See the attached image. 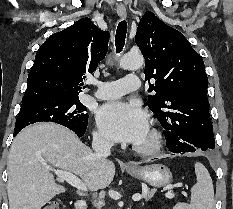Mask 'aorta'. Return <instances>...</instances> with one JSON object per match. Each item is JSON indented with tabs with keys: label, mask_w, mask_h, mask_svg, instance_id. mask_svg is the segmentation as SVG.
I'll list each match as a JSON object with an SVG mask.
<instances>
[{
	"label": "aorta",
	"mask_w": 233,
	"mask_h": 209,
	"mask_svg": "<svg viewBox=\"0 0 233 209\" xmlns=\"http://www.w3.org/2000/svg\"><path fill=\"white\" fill-rule=\"evenodd\" d=\"M144 58L140 54L128 53L120 60V67L126 70H136L143 66Z\"/></svg>",
	"instance_id": "obj_1"
}]
</instances>
